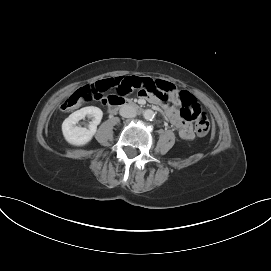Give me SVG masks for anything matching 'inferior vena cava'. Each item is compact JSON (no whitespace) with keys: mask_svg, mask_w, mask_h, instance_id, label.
<instances>
[{"mask_svg":"<svg viewBox=\"0 0 271 271\" xmlns=\"http://www.w3.org/2000/svg\"><path fill=\"white\" fill-rule=\"evenodd\" d=\"M120 115L125 118H132L136 116V110L133 106L131 105H123L120 108Z\"/></svg>","mask_w":271,"mask_h":271,"instance_id":"602c4592","label":"inferior vena cava"}]
</instances>
